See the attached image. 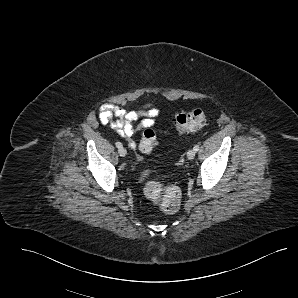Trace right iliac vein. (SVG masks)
Segmentation results:
<instances>
[{
	"mask_svg": "<svg viewBox=\"0 0 298 298\" xmlns=\"http://www.w3.org/2000/svg\"><path fill=\"white\" fill-rule=\"evenodd\" d=\"M118 153L121 157H125L127 154V151L125 148L122 147V148H119Z\"/></svg>",
	"mask_w": 298,
	"mask_h": 298,
	"instance_id": "obj_1",
	"label": "right iliac vein"
}]
</instances>
